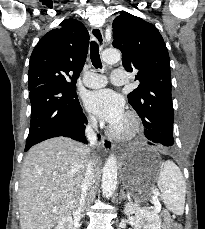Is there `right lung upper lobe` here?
<instances>
[{"instance_id":"cb5924a9","label":"right lung upper lobe","mask_w":205,"mask_h":229,"mask_svg":"<svg viewBox=\"0 0 205 229\" xmlns=\"http://www.w3.org/2000/svg\"><path fill=\"white\" fill-rule=\"evenodd\" d=\"M89 44L85 26L75 19L64 20L60 28L45 34L35 46L28 73L29 90L57 78L76 82L84 66Z\"/></svg>"}]
</instances>
